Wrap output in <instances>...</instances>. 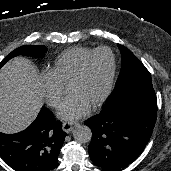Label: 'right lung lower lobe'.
<instances>
[{
  "instance_id": "obj_1",
  "label": "right lung lower lobe",
  "mask_w": 171,
  "mask_h": 171,
  "mask_svg": "<svg viewBox=\"0 0 171 171\" xmlns=\"http://www.w3.org/2000/svg\"><path fill=\"white\" fill-rule=\"evenodd\" d=\"M62 124L42 107L36 120L16 134L0 132V156L16 171H52L65 139Z\"/></svg>"
}]
</instances>
